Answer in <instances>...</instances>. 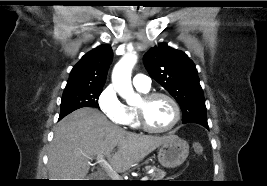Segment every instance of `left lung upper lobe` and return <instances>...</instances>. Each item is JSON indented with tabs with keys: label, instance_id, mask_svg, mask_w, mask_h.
<instances>
[{
	"label": "left lung upper lobe",
	"instance_id": "5c2ea615",
	"mask_svg": "<svg viewBox=\"0 0 267 186\" xmlns=\"http://www.w3.org/2000/svg\"><path fill=\"white\" fill-rule=\"evenodd\" d=\"M144 63L150 76L179 103L183 123L208 125L198 72L184 52L162 43L147 51Z\"/></svg>",
	"mask_w": 267,
	"mask_h": 186
}]
</instances>
